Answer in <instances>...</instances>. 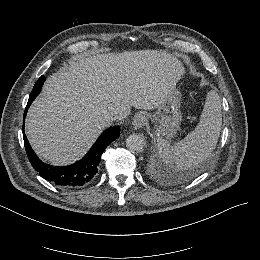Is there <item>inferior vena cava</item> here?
Wrapping results in <instances>:
<instances>
[{"label": "inferior vena cava", "instance_id": "1", "mask_svg": "<svg viewBox=\"0 0 260 260\" xmlns=\"http://www.w3.org/2000/svg\"><path fill=\"white\" fill-rule=\"evenodd\" d=\"M117 118H118V115H117L116 112H114V111H109V112L105 115L104 120H107V121L111 122V121L116 120Z\"/></svg>", "mask_w": 260, "mask_h": 260}]
</instances>
